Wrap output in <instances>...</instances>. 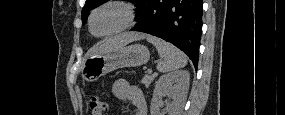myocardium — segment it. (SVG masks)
I'll return each instance as SVG.
<instances>
[{
    "mask_svg": "<svg viewBox=\"0 0 285 115\" xmlns=\"http://www.w3.org/2000/svg\"><path fill=\"white\" fill-rule=\"evenodd\" d=\"M105 7H115L119 9L123 15V21L116 29L107 33L97 34L93 31L92 27L93 19L96 13ZM136 20H137V14L133 4H131L128 1L111 0L102 3L101 5H99L98 7H96L91 11L88 18V27L91 34L96 37H110L130 29L135 25Z\"/></svg>",
    "mask_w": 285,
    "mask_h": 115,
    "instance_id": "myocardium-1",
    "label": "myocardium"
}]
</instances>
